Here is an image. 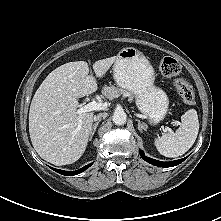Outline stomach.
Masks as SVG:
<instances>
[{"instance_id":"obj_1","label":"stomach","mask_w":221,"mask_h":221,"mask_svg":"<svg viewBox=\"0 0 221 221\" xmlns=\"http://www.w3.org/2000/svg\"><path fill=\"white\" fill-rule=\"evenodd\" d=\"M113 76L119 87L135 96L138 110L151 123L158 124L164 119L169 106L168 96L154 85V69L141 51L134 47L121 49L113 66Z\"/></svg>"}]
</instances>
